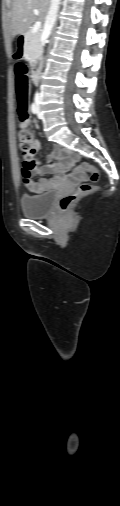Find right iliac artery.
Returning <instances> with one entry per match:
<instances>
[{
	"mask_svg": "<svg viewBox=\"0 0 120 506\" xmlns=\"http://www.w3.org/2000/svg\"><path fill=\"white\" fill-rule=\"evenodd\" d=\"M31 111H32V113H33V114H37V112H38V107H37V105H36L35 103H33V104L31 105Z\"/></svg>",
	"mask_w": 120,
	"mask_h": 506,
	"instance_id": "1",
	"label": "right iliac artery"
}]
</instances>
